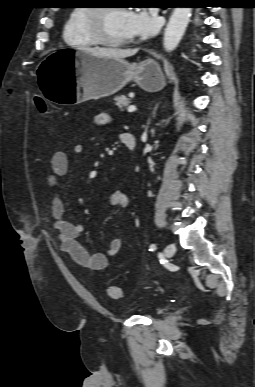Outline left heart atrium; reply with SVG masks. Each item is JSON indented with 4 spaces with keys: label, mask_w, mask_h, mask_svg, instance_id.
<instances>
[{
    "label": "left heart atrium",
    "mask_w": 255,
    "mask_h": 387,
    "mask_svg": "<svg viewBox=\"0 0 255 387\" xmlns=\"http://www.w3.org/2000/svg\"><path fill=\"white\" fill-rule=\"evenodd\" d=\"M158 20L144 10L127 12V30L130 37H149L158 30Z\"/></svg>",
    "instance_id": "obj_1"
}]
</instances>
